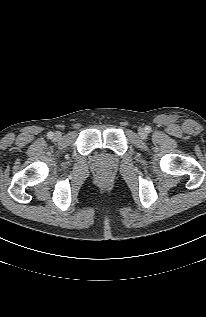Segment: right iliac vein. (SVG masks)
I'll return each mask as SVG.
<instances>
[{
    "label": "right iliac vein",
    "instance_id": "1",
    "mask_svg": "<svg viewBox=\"0 0 206 317\" xmlns=\"http://www.w3.org/2000/svg\"><path fill=\"white\" fill-rule=\"evenodd\" d=\"M60 136H61V135H60V133H58V132L55 134V138H57V139H59Z\"/></svg>",
    "mask_w": 206,
    "mask_h": 317
}]
</instances>
